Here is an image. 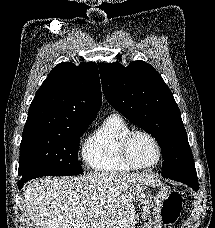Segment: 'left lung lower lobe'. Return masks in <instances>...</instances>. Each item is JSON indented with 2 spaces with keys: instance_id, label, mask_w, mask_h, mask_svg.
<instances>
[{
  "instance_id": "1",
  "label": "left lung lower lobe",
  "mask_w": 215,
  "mask_h": 228,
  "mask_svg": "<svg viewBox=\"0 0 215 228\" xmlns=\"http://www.w3.org/2000/svg\"><path fill=\"white\" fill-rule=\"evenodd\" d=\"M164 178L176 180L187 184L189 187L198 191V179L196 174V169L187 170L171 176H163Z\"/></svg>"
}]
</instances>
